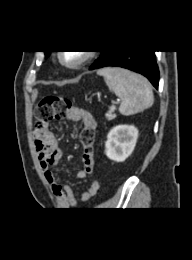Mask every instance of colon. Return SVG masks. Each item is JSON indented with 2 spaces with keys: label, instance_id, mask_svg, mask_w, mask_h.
<instances>
[{
  "label": "colon",
  "instance_id": "obj_1",
  "mask_svg": "<svg viewBox=\"0 0 192 260\" xmlns=\"http://www.w3.org/2000/svg\"><path fill=\"white\" fill-rule=\"evenodd\" d=\"M87 111L74 107L70 100L60 96H46L37 105L34 117L37 124H43L53 119L70 118L74 115L84 114ZM79 138L84 146V153H93V143L95 138L94 129L87 125L81 129Z\"/></svg>",
  "mask_w": 192,
  "mask_h": 260
}]
</instances>
